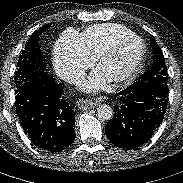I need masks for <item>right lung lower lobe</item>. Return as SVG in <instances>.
Returning a JSON list of instances; mask_svg holds the SVG:
<instances>
[{
	"instance_id": "98d812e1",
	"label": "right lung lower lobe",
	"mask_w": 183,
	"mask_h": 183,
	"mask_svg": "<svg viewBox=\"0 0 183 183\" xmlns=\"http://www.w3.org/2000/svg\"><path fill=\"white\" fill-rule=\"evenodd\" d=\"M16 112L31 142L60 152L75 139V112L64 97L61 83L51 74L28 80L16 90Z\"/></svg>"
}]
</instances>
